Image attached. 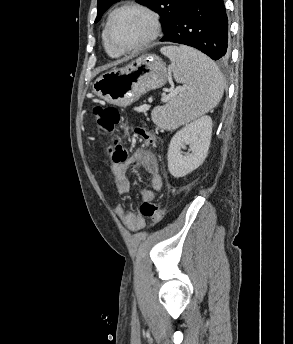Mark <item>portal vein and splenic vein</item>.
Instances as JSON below:
<instances>
[{"label": "portal vein and splenic vein", "mask_w": 293, "mask_h": 344, "mask_svg": "<svg viewBox=\"0 0 293 344\" xmlns=\"http://www.w3.org/2000/svg\"><path fill=\"white\" fill-rule=\"evenodd\" d=\"M181 87H177L175 90L171 91L168 95H164L162 97V101H167L169 100L171 97L177 95V93L181 90Z\"/></svg>", "instance_id": "1"}]
</instances>
